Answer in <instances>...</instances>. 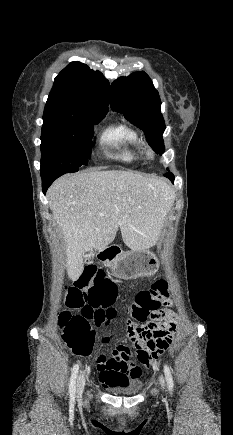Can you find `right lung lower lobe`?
<instances>
[{
    "instance_id": "obj_1",
    "label": "right lung lower lobe",
    "mask_w": 233,
    "mask_h": 435,
    "mask_svg": "<svg viewBox=\"0 0 233 435\" xmlns=\"http://www.w3.org/2000/svg\"><path fill=\"white\" fill-rule=\"evenodd\" d=\"M60 176H61L60 173L47 175V176H41L42 177V190H43L44 194H46V191L49 188V186L52 184V182Z\"/></svg>"
}]
</instances>
